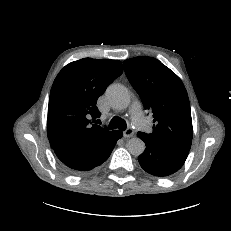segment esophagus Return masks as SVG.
<instances>
[{
  "label": "esophagus",
  "mask_w": 231,
  "mask_h": 231,
  "mask_svg": "<svg viewBox=\"0 0 231 231\" xmlns=\"http://www.w3.org/2000/svg\"><path fill=\"white\" fill-rule=\"evenodd\" d=\"M133 135H134V130L131 129V128H128V129H126L125 131H123V136H124L125 138H130V137H132Z\"/></svg>",
  "instance_id": "34e87169"
}]
</instances>
